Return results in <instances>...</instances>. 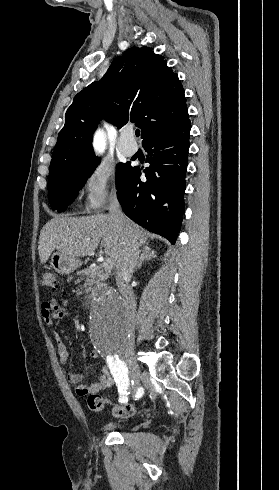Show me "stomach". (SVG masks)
I'll return each mask as SVG.
<instances>
[{
	"instance_id": "0dacf381",
	"label": "stomach",
	"mask_w": 279,
	"mask_h": 490,
	"mask_svg": "<svg viewBox=\"0 0 279 490\" xmlns=\"http://www.w3.org/2000/svg\"><path fill=\"white\" fill-rule=\"evenodd\" d=\"M50 266L57 274L67 276V274H72L74 270H77L81 266V262L78 258H70L61 252H54L50 258Z\"/></svg>"
}]
</instances>
